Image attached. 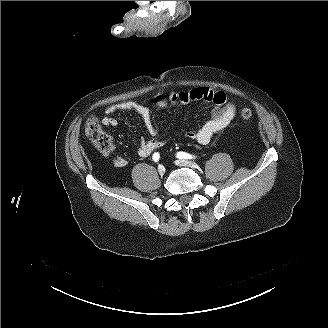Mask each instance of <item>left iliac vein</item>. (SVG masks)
<instances>
[{"mask_svg":"<svg viewBox=\"0 0 328 328\" xmlns=\"http://www.w3.org/2000/svg\"><path fill=\"white\" fill-rule=\"evenodd\" d=\"M175 164L178 166L198 167L197 163L188 160H177Z\"/></svg>","mask_w":328,"mask_h":328,"instance_id":"obj_1","label":"left iliac vein"}]
</instances>
